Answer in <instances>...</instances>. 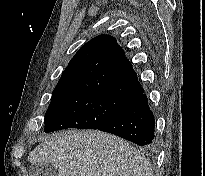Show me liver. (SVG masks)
Returning <instances> with one entry per match:
<instances>
[{
	"instance_id": "liver-1",
	"label": "liver",
	"mask_w": 205,
	"mask_h": 176,
	"mask_svg": "<svg viewBox=\"0 0 205 176\" xmlns=\"http://www.w3.org/2000/svg\"><path fill=\"white\" fill-rule=\"evenodd\" d=\"M28 161L50 163L57 176H153L150 163L136 148L100 131L53 134L29 154Z\"/></svg>"
}]
</instances>
